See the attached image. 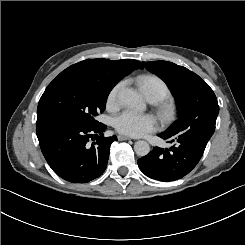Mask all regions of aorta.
<instances>
[{
	"label": "aorta",
	"mask_w": 245,
	"mask_h": 245,
	"mask_svg": "<svg viewBox=\"0 0 245 245\" xmlns=\"http://www.w3.org/2000/svg\"><path fill=\"white\" fill-rule=\"evenodd\" d=\"M119 99L127 107L142 110L145 104L138 92L130 88H123L119 92ZM135 153L139 156H146L150 152V146L146 141H137L134 144Z\"/></svg>",
	"instance_id": "762f6f07"
}]
</instances>
